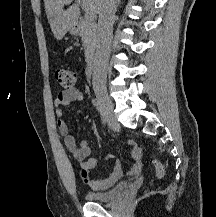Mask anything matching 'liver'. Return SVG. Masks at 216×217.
<instances>
[{"label":"liver","mask_w":216,"mask_h":217,"mask_svg":"<svg viewBox=\"0 0 216 217\" xmlns=\"http://www.w3.org/2000/svg\"><path fill=\"white\" fill-rule=\"evenodd\" d=\"M102 2L103 0H77L67 10H63L65 5L70 4L69 0H44L45 11L54 37L61 40L67 31L75 26L80 15V7L98 14Z\"/></svg>","instance_id":"obj_1"}]
</instances>
